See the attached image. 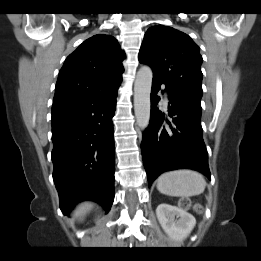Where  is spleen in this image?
<instances>
[{"label": "spleen", "mask_w": 261, "mask_h": 261, "mask_svg": "<svg viewBox=\"0 0 261 261\" xmlns=\"http://www.w3.org/2000/svg\"><path fill=\"white\" fill-rule=\"evenodd\" d=\"M205 187L206 181L203 175L187 169L163 173L157 180L159 192L169 196H195L201 194Z\"/></svg>", "instance_id": "obj_1"}]
</instances>
